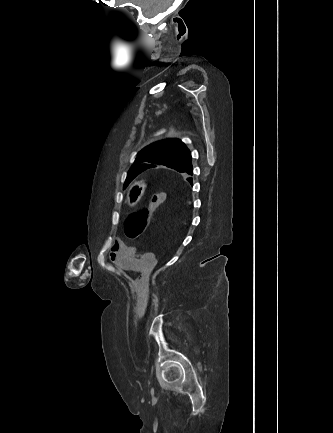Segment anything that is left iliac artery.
<instances>
[{"instance_id": "1", "label": "left iliac artery", "mask_w": 333, "mask_h": 433, "mask_svg": "<svg viewBox=\"0 0 333 433\" xmlns=\"http://www.w3.org/2000/svg\"><path fill=\"white\" fill-rule=\"evenodd\" d=\"M151 392H152V393L154 392V389H153V388L151 389Z\"/></svg>"}]
</instances>
